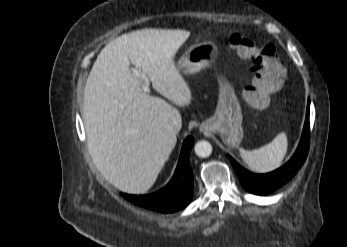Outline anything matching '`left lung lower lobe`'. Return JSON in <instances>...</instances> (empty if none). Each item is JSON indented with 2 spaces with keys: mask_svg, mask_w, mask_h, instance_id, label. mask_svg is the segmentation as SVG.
I'll return each mask as SVG.
<instances>
[{
  "mask_svg": "<svg viewBox=\"0 0 347 247\" xmlns=\"http://www.w3.org/2000/svg\"><path fill=\"white\" fill-rule=\"evenodd\" d=\"M308 100L306 120L298 148L292 158L281 168L268 174H254L241 167L231 156L228 155L241 185L249 192L256 195H267L288 182L306 160L309 150L310 123H309Z\"/></svg>",
  "mask_w": 347,
  "mask_h": 247,
  "instance_id": "left-lung-lower-lobe-1",
  "label": "left lung lower lobe"
}]
</instances>
